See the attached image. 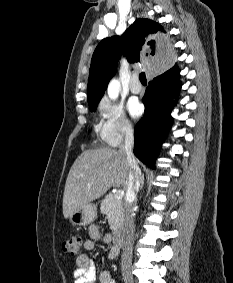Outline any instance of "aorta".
<instances>
[{
	"instance_id": "762f6f07",
	"label": "aorta",
	"mask_w": 233,
	"mask_h": 283,
	"mask_svg": "<svg viewBox=\"0 0 233 283\" xmlns=\"http://www.w3.org/2000/svg\"><path fill=\"white\" fill-rule=\"evenodd\" d=\"M120 84L117 80L113 79L108 85V96L115 100L119 95Z\"/></svg>"
}]
</instances>
